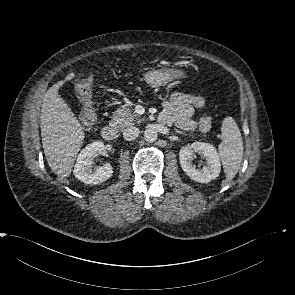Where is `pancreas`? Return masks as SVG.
Returning <instances> with one entry per match:
<instances>
[{"mask_svg":"<svg viewBox=\"0 0 295 295\" xmlns=\"http://www.w3.org/2000/svg\"><path fill=\"white\" fill-rule=\"evenodd\" d=\"M141 121H143V119L141 116L136 114L133 109L128 106H123L114 112L110 123L118 128L123 129L136 123H140ZM197 124L200 131L207 132L211 128V118L204 115L200 117Z\"/></svg>","mask_w":295,"mask_h":295,"instance_id":"pancreas-1","label":"pancreas"}]
</instances>
